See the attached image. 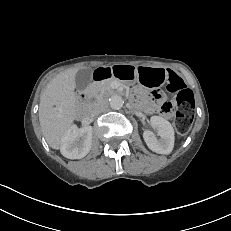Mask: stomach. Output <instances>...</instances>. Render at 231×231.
<instances>
[{"label": "stomach", "instance_id": "stomach-1", "mask_svg": "<svg viewBox=\"0 0 231 231\" xmlns=\"http://www.w3.org/2000/svg\"><path fill=\"white\" fill-rule=\"evenodd\" d=\"M113 72L127 83H134L138 80L149 88L162 86L166 76V71L163 68L131 64H116L113 67Z\"/></svg>", "mask_w": 231, "mask_h": 231}]
</instances>
